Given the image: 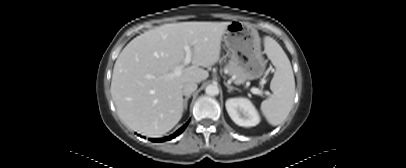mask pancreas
I'll use <instances>...</instances> for the list:
<instances>
[{
  "instance_id": "cf45deb5",
  "label": "pancreas",
  "mask_w": 406,
  "mask_h": 168,
  "mask_svg": "<svg viewBox=\"0 0 406 168\" xmlns=\"http://www.w3.org/2000/svg\"><path fill=\"white\" fill-rule=\"evenodd\" d=\"M224 70L227 71L230 76H235V83L241 84L246 81V78L238 66L229 64L224 68Z\"/></svg>"
}]
</instances>
